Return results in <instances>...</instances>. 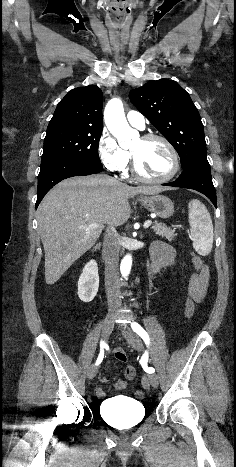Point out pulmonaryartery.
<instances>
[{
  "label": "pulmonary artery",
  "mask_w": 236,
  "mask_h": 467,
  "mask_svg": "<svg viewBox=\"0 0 236 467\" xmlns=\"http://www.w3.org/2000/svg\"><path fill=\"white\" fill-rule=\"evenodd\" d=\"M127 120L132 126L140 130L145 128V118L140 112L129 111L127 113Z\"/></svg>",
  "instance_id": "obj_1"
}]
</instances>
